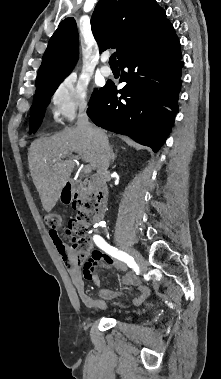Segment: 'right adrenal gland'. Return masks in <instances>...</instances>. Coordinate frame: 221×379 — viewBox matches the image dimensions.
I'll return each instance as SVG.
<instances>
[{
  "label": "right adrenal gland",
  "instance_id": "2a0ac1e0",
  "mask_svg": "<svg viewBox=\"0 0 221 379\" xmlns=\"http://www.w3.org/2000/svg\"><path fill=\"white\" fill-rule=\"evenodd\" d=\"M110 151H111V163L113 164L116 158V153L113 152V146H110Z\"/></svg>",
  "mask_w": 221,
  "mask_h": 379
}]
</instances>
